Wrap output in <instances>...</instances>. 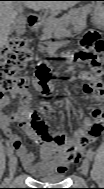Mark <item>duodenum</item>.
<instances>
[{
  "label": "duodenum",
  "instance_id": "410a0bca",
  "mask_svg": "<svg viewBox=\"0 0 104 189\" xmlns=\"http://www.w3.org/2000/svg\"><path fill=\"white\" fill-rule=\"evenodd\" d=\"M27 24H28V27L30 28V30L34 31V32H36L40 27V21L34 16H30L28 18Z\"/></svg>",
  "mask_w": 104,
  "mask_h": 189
}]
</instances>
